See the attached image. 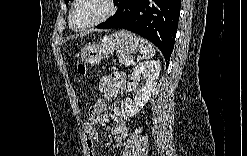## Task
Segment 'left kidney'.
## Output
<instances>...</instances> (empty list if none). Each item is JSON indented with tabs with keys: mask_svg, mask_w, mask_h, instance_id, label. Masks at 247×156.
<instances>
[{
	"mask_svg": "<svg viewBox=\"0 0 247 156\" xmlns=\"http://www.w3.org/2000/svg\"><path fill=\"white\" fill-rule=\"evenodd\" d=\"M161 70V63L157 60L139 63L131 74L133 84L140 85L134 100L129 98L124 103L127 116L136 115L148 102L155 90Z\"/></svg>",
	"mask_w": 247,
	"mask_h": 156,
	"instance_id": "left-kidney-1",
	"label": "left kidney"
}]
</instances>
